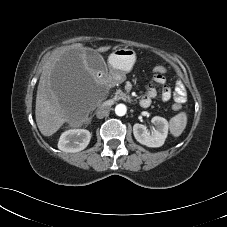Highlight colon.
Returning <instances> with one entry per match:
<instances>
[{
	"instance_id": "1",
	"label": "colon",
	"mask_w": 227,
	"mask_h": 227,
	"mask_svg": "<svg viewBox=\"0 0 227 227\" xmlns=\"http://www.w3.org/2000/svg\"><path fill=\"white\" fill-rule=\"evenodd\" d=\"M165 71H166V68L162 65H158V66H155L153 68V74L154 75L155 74H163ZM173 108L175 110H179L181 108V105L176 103V104L173 105Z\"/></svg>"
}]
</instances>
